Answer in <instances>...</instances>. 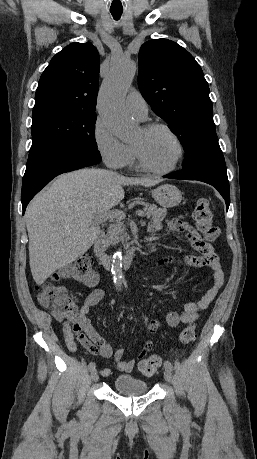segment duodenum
<instances>
[{"instance_id":"duodenum-1","label":"duodenum","mask_w":257,"mask_h":459,"mask_svg":"<svg viewBox=\"0 0 257 459\" xmlns=\"http://www.w3.org/2000/svg\"><path fill=\"white\" fill-rule=\"evenodd\" d=\"M94 252L100 262V264L108 268L112 263V258L104 252V232H99L93 242ZM136 260V253L134 251H128L123 257V267L130 268Z\"/></svg>"}]
</instances>
